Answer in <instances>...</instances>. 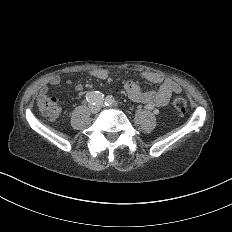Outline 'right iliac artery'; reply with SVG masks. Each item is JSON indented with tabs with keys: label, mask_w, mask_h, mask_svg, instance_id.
<instances>
[{
	"label": "right iliac artery",
	"mask_w": 232,
	"mask_h": 232,
	"mask_svg": "<svg viewBox=\"0 0 232 232\" xmlns=\"http://www.w3.org/2000/svg\"><path fill=\"white\" fill-rule=\"evenodd\" d=\"M85 98L92 105H100L104 102V95L99 91H89Z\"/></svg>",
	"instance_id": "right-iliac-artery-1"
}]
</instances>
